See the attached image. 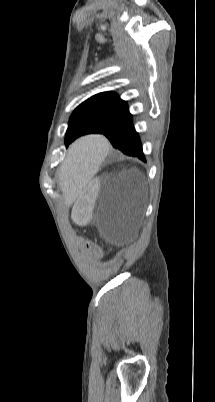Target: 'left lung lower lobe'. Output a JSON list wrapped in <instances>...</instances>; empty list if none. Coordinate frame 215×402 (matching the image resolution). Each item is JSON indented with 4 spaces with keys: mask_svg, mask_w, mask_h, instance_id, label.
Returning a JSON list of instances; mask_svg holds the SVG:
<instances>
[{
    "mask_svg": "<svg viewBox=\"0 0 215 402\" xmlns=\"http://www.w3.org/2000/svg\"><path fill=\"white\" fill-rule=\"evenodd\" d=\"M93 133L104 134L112 145L124 154L136 156L145 161L140 138L133 126L132 115L128 107Z\"/></svg>",
    "mask_w": 215,
    "mask_h": 402,
    "instance_id": "obj_1",
    "label": "left lung lower lobe"
}]
</instances>
